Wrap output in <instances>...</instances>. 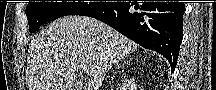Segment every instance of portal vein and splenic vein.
<instances>
[{
	"mask_svg": "<svg viewBox=\"0 0 216 90\" xmlns=\"http://www.w3.org/2000/svg\"><path fill=\"white\" fill-rule=\"evenodd\" d=\"M82 70L83 72H88V70H86V66H82Z\"/></svg>",
	"mask_w": 216,
	"mask_h": 90,
	"instance_id": "1",
	"label": "portal vein and splenic vein"
}]
</instances>
